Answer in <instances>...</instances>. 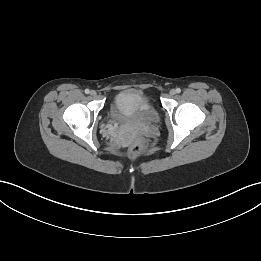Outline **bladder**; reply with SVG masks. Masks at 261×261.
<instances>
[{"instance_id": "31cf9c89", "label": "bladder", "mask_w": 261, "mask_h": 261, "mask_svg": "<svg viewBox=\"0 0 261 261\" xmlns=\"http://www.w3.org/2000/svg\"><path fill=\"white\" fill-rule=\"evenodd\" d=\"M109 116L120 124L151 125L158 120V111L150 94L127 89L113 96L109 104Z\"/></svg>"}]
</instances>
